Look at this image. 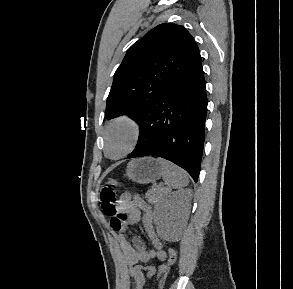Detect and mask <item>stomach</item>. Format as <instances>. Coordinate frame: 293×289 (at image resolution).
Segmentation results:
<instances>
[{"instance_id": "0dacf381", "label": "stomach", "mask_w": 293, "mask_h": 289, "mask_svg": "<svg viewBox=\"0 0 293 289\" xmlns=\"http://www.w3.org/2000/svg\"><path fill=\"white\" fill-rule=\"evenodd\" d=\"M126 176L138 184H148L155 182L162 176V169L155 158H138L128 163Z\"/></svg>"}]
</instances>
